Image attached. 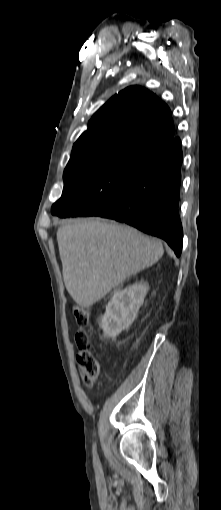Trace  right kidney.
I'll return each mask as SVG.
<instances>
[{"mask_svg":"<svg viewBox=\"0 0 221 510\" xmlns=\"http://www.w3.org/2000/svg\"><path fill=\"white\" fill-rule=\"evenodd\" d=\"M148 289V284L141 281L114 292L101 319L100 325L105 336L116 337L129 328L137 317Z\"/></svg>","mask_w":221,"mask_h":510,"instance_id":"1","label":"right kidney"}]
</instances>
